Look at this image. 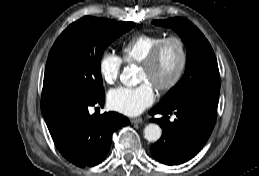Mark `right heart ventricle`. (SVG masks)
Returning a JSON list of instances; mask_svg holds the SVG:
<instances>
[{
    "label": "right heart ventricle",
    "instance_id": "right-heart-ventricle-1",
    "mask_svg": "<svg viewBox=\"0 0 259 176\" xmlns=\"http://www.w3.org/2000/svg\"><path fill=\"white\" fill-rule=\"evenodd\" d=\"M163 38V34L140 33L133 35L122 46L123 60L128 64L140 63Z\"/></svg>",
    "mask_w": 259,
    "mask_h": 176
}]
</instances>
